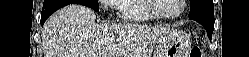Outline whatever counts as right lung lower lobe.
I'll use <instances>...</instances> for the list:
<instances>
[{
  "instance_id": "obj_1",
  "label": "right lung lower lobe",
  "mask_w": 249,
  "mask_h": 57,
  "mask_svg": "<svg viewBox=\"0 0 249 57\" xmlns=\"http://www.w3.org/2000/svg\"><path fill=\"white\" fill-rule=\"evenodd\" d=\"M77 3L82 4V0H44L42 14H41V25L43 26L46 19L56 10L64 7L68 4Z\"/></svg>"
}]
</instances>
